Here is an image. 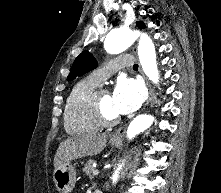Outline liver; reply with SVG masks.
<instances>
[{
  "label": "liver",
  "instance_id": "liver-1",
  "mask_svg": "<svg viewBox=\"0 0 221 193\" xmlns=\"http://www.w3.org/2000/svg\"><path fill=\"white\" fill-rule=\"evenodd\" d=\"M107 139V134H87L67 138L57 149L54 167L57 168L78 158L99 154L105 148Z\"/></svg>",
  "mask_w": 221,
  "mask_h": 193
}]
</instances>
